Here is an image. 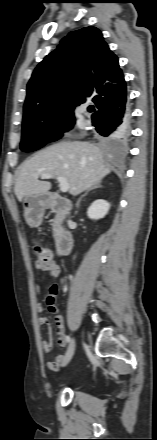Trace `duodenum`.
Masks as SVG:
<instances>
[{
	"label": "duodenum",
	"mask_w": 157,
	"mask_h": 440,
	"mask_svg": "<svg viewBox=\"0 0 157 440\" xmlns=\"http://www.w3.org/2000/svg\"><path fill=\"white\" fill-rule=\"evenodd\" d=\"M48 208L64 218L70 209V202L60 195H51L47 198ZM74 236L68 229H61L56 240V253L58 256L68 255L73 246Z\"/></svg>",
	"instance_id": "1"
}]
</instances>
